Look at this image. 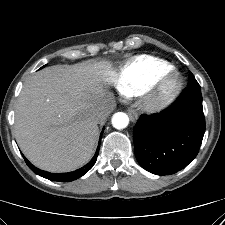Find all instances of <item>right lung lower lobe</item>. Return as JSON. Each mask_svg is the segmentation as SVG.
<instances>
[{"label": "right lung lower lobe", "instance_id": "98d812e1", "mask_svg": "<svg viewBox=\"0 0 225 225\" xmlns=\"http://www.w3.org/2000/svg\"><path fill=\"white\" fill-rule=\"evenodd\" d=\"M100 142L99 146L97 148L96 154L94 155L93 159L84 167L68 173H49L43 170H40L33 166L25 157L26 164L28 167L36 174L40 175L41 177H44L46 179L52 180V181H58V182H70L74 181L80 177H82L84 174H86L95 164L99 152Z\"/></svg>", "mask_w": 225, "mask_h": 225}]
</instances>
